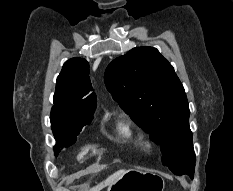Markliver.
<instances>
[{
    "mask_svg": "<svg viewBox=\"0 0 233 191\" xmlns=\"http://www.w3.org/2000/svg\"><path fill=\"white\" fill-rule=\"evenodd\" d=\"M124 170H118L112 175H110L106 180L103 182L97 184L93 188H91L89 191H101L104 187L112 185L123 173Z\"/></svg>",
    "mask_w": 233,
    "mask_h": 191,
    "instance_id": "liver-1",
    "label": "liver"
}]
</instances>
